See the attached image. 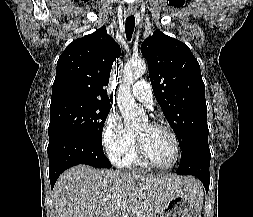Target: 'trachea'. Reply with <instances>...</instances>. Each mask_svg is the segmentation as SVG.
I'll list each match as a JSON object with an SVG mask.
<instances>
[{"label":"trachea","instance_id":"3493384b","mask_svg":"<svg viewBox=\"0 0 253 217\" xmlns=\"http://www.w3.org/2000/svg\"><path fill=\"white\" fill-rule=\"evenodd\" d=\"M134 26H135V17L134 15H130L129 17L126 18L125 23L126 38L128 41H130L132 38Z\"/></svg>","mask_w":253,"mask_h":217}]
</instances>
